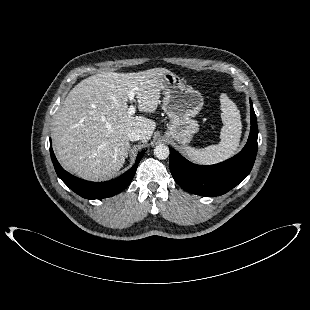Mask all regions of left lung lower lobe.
<instances>
[{"instance_id": "0a47b994", "label": "left lung lower lobe", "mask_w": 310, "mask_h": 310, "mask_svg": "<svg viewBox=\"0 0 310 310\" xmlns=\"http://www.w3.org/2000/svg\"><path fill=\"white\" fill-rule=\"evenodd\" d=\"M251 130L240 153L215 165H196L170 148V170L185 191L207 197L222 195L237 186L251 171L257 154L258 127L250 100Z\"/></svg>"}]
</instances>
